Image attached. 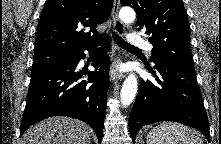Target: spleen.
<instances>
[{
  "label": "spleen",
  "instance_id": "3e777b00",
  "mask_svg": "<svg viewBox=\"0 0 221 144\" xmlns=\"http://www.w3.org/2000/svg\"><path fill=\"white\" fill-rule=\"evenodd\" d=\"M147 144H204L191 128L177 122H163L147 135Z\"/></svg>",
  "mask_w": 221,
  "mask_h": 144
}]
</instances>
